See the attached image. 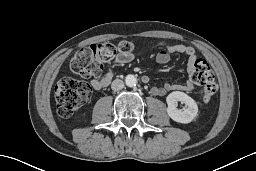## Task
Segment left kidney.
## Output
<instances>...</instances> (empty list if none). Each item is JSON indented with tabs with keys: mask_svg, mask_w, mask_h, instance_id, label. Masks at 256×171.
<instances>
[{
	"mask_svg": "<svg viewBox=\"0 0 256 171\" xmlns=\"http://www.w3.org/2000/svg\"><path fill=\"white\" fill-rule=\"evenodd\" d=\"M166 102L168 104L167 113L176 122L190 123L198 113V106L194 99L183 92L174 91L170 93L166 98ZM177 102L185 104L186 108L178 109Z\"/></svg>",
	"mask_w": 256,
	"mask_h": 171,
	"instance_id": "left-kidney-1",
	"label": "left kidney"
}]
</instances>
